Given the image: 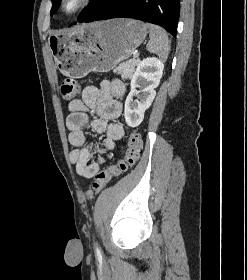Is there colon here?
Masks as SVG:
<instances>
[{
  "label": "colon",
  "mask_w": 247,
  "mask_h": 280,
  "mask_svg": "<svg viewBox=\"0 0 247 280\" xmlns=\"http://www.w3.org/2000/svg\"><path fill=\"white\" fill-rule=\"evenodd\" d=\"M60 91L64 99L70 100L78 94L79 87L74 79L66 78L60 85ZM141 148L142 139L140 134L137 131L131 132L128 149L124 158L95 174L92 188L88 192V195L91 197L98 194L112 179L131 168L137 162Z\"/></svg>",
  "instance_id": "1"
}]
</instances>
